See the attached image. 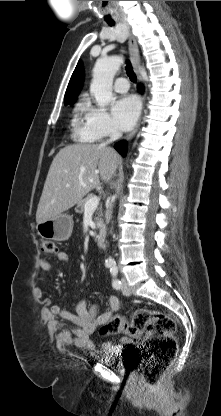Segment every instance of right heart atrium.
I'll return each mask as SVG.
<instances>
[{"mask_svg":"<svg viewBox=\"0 0 221 416\" xmlns=\"http://www.w3.org/2000/svg\"><path fill=\"white\" fill-rule=\"evenodd\" d=\"M82 132L91 140L117 137L119 130L111 115L89 101L84 103Z\"/></svg>","mask_w":221,"mask_h":416,"instance_id":"d8ad5b80","label":"right heart atrium"}]
</instances>
